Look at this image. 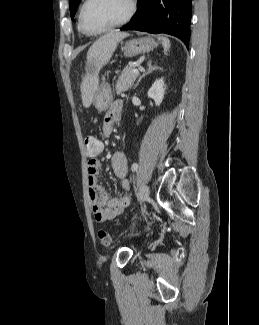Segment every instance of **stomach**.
I'll return each mask as SVG.
<instances>
[{"label":"stomach","mask_w":259,"mask_h":325,"mask_svg":"<svg viewBox=\"0 0 259 325\" xmlns=\"http://www.w3.org/2000/svg\"><path fill=\"white\" fill-rule=\"evenodd\" d=\"M156 42L151 37H141L127 41L122 51L126 57H133L139 54L151 51L156 47ZM112 102L111 88L107 83H102L96 90L94 95V106L100 111H106Z\"/></svg>","instance_id":"1"}]
</instances>
